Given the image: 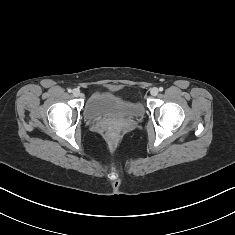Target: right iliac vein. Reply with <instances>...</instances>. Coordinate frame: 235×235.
Returning a JSON list of instances; mask_svg holds the SVG:
<instances>
[{"label":"right iliac vein","instance_id":"1","mask_svg":"<svg viewBox=\"0 0 235 235\" xmlns=\"http://www.w3.org/2000/svg\"><path fill=\"white\" fill-rule=\"evenodd\" d=\"M72 94L75 96V97H78V96H80V90L79 89H74L73 91H72Z\"/></svg>","mask_w":235,"mask_h":235}]
</instances>
